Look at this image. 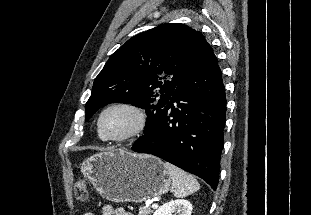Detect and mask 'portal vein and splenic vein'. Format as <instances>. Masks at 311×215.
I'll return each mask as SVG.
<instances>
[{"label": "portal vein and splenic vein", "instance_id": "18ae733b", "mask_svg": "<svg viewBox=\"0 0 311 215\" xmlns=\"http://www.w3.org/2000/svg\"><path fill=\"white\" fill-rule=\"evenodd\" d=\"M158 207V204L157 203H154L153 205H152V208H157Z\"/></svg>", "mask_w": 311, "mask_h": 215}]
</instances>
